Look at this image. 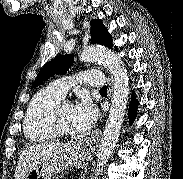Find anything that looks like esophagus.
<instances>
[{"instance_id":"1","label":"esophagus","mask_w":183,"mask_h":179,"mask_svg":"<svg viewBox=\"0 0 183 179\" xmlns=\"http://www.w3.org/2000/svg\"><path fill=\"white\" fill-rule=\"evenodd\" d=\"M101 131L96 130L91 135L86 137L84 140L80 142V145L87 149H95L97 147L99 140H100Z\"/></svg>"}]
</instances>
